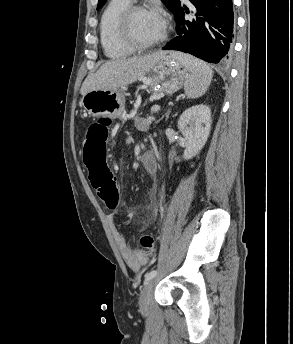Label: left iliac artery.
Segmentation results:
<instances>
[{
    "label": "left iliac artery",
    "instance_id": "obj_1",
    "mask_svg": "<svg viewBox=\"0 0 293 344\" xmlns=\"http://www.w3.org/2000/svg\"><path fill=\"white\" fill-rule=\"evenodd\" d=\"M157 274L156 270H151L150 272H147L145 274V280H144V284L148 283L152 278H154Z\"/></svg>",
    "mask_w": 293,
    "mask_h": 344
}]
</instances>
